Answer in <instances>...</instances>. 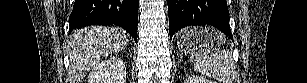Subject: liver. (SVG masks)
<instances>
[{"label": "liver", "instance_id": "obj_1", "mask_svg": "<svg viewBox=\"0 0 307 83\" xmlns=\"http://www.w3.org/2000/svg\"><path fill=\"white\" fill-rule=\"evenodd\" d=\"M128 42V34L118 27L92 26L74 31L67 45L70 83H80L102 58L123 50Z\"/></svg>", "mask_w": 307, "mask_h": 83}]
</instances>
